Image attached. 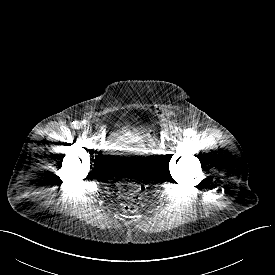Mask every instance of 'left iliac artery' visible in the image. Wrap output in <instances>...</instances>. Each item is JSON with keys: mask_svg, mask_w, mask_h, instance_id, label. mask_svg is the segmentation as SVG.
Masks as SVG:
<instances>
[{"mask_svg": "<svg viewBox=\"0 0 275 275\" xmlns=\"http://www.w3.org/2000/svg\"><path fill=\"white\" fill-rule=\"evenodd\" d=\"M184 134H185L186 136H192V135L194 134V132H193L192 129H186L185 132H184Z\"/></svg>", "mask_w": 275, "mask_h": 275, "instance_id": "left-iliac-artery-1", "label": "left iliac artery"}]
</instances>
